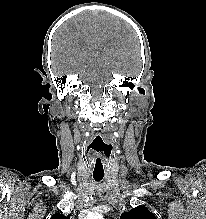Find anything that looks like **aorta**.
Returning <instances> with one entry per match:
<instances>
[{
    "mask_svg": "<svg viewBox=\"0 0 206 219\" xmlns=\"http://www.w3.org/2000/svg\"><path fill=\"white\" fill-rule=\"evenodd\" d=\"M87 219H103V216L101 214H91Z\"/></svg>",
    "mask_w": 206,
    "mask_h": 219,
    "instance_id": "obj_1",
    "label": "aorta"
}]
</instances>
